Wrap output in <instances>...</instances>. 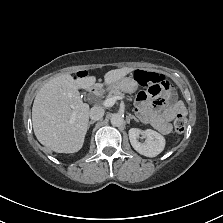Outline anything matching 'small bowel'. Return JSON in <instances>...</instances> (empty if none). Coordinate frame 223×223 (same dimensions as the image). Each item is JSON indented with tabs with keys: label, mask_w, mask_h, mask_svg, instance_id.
Instances as JSON below:
<instances>
[{
	"label": "small bowel",
	"mask_w": 223,
	"mask_h": 223,
	"mask_svg": "<svg viewBox=\"0 0 223 223\" xmlns=\"http://www.w3.org/2000/svg\"><path fill=\"white\" fill-rule=\"evenodd\" d=\"M136 109L143 121L150 123L164 134L171 132V122L175 116L186 112L184 104L176 100L168 81L140 92L136 97Z\"/></svg>",
	"instance_id": "c3829d8e"
}]
</instances>
